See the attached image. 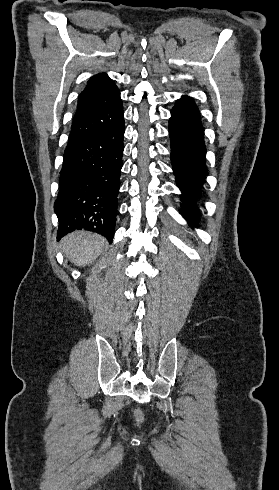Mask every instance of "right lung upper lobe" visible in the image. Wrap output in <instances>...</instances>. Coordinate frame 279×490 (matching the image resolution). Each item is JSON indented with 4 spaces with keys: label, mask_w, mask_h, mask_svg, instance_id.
Returning a JSON list of instances; mask_svg holds the SVG:
<instances>
[{
    "label": "right lung upper lobe",
    "mask_w": 279,
    "mask_h": 490,
    "mask_svg": "<svg viewBox=\"0 0 279 490\" xmlns=\"http://www.w3.org/2000/svg\"><path fill=\"white\" fill-rule=\"evenodd\" d=\"M123 120V106L116 85L107 74L91 77L78 97L69 144L97 136Z\"/></svg>",
    "instance_id": "obj_1"
}]
</instances>
